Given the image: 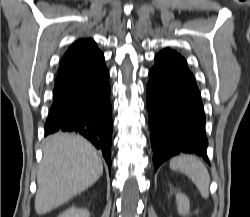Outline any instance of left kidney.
I'll return each mask as SVG.
<instances>
[{"label":"left kidney","instance_id":"left-kidney-1","mask_svg":"<svg viewBox=\"0 0 250 217\" xmlns=\"http://www.w3.org/2000/svg\"><path fill=\"white\" fill-rule=\"evenodd\" d=\"M176 202H177V208L180 214L185 215L189 212V199L188 197L183 193H176Z\"/></svg>","mask_w":250,"mask_h":217}]
</instances>
